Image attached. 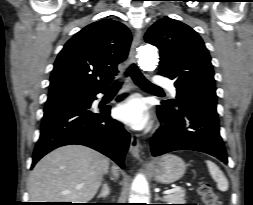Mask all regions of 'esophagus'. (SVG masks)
I'll list each match as a JSON object with an SVG mask.
<instances>
[{
    "instance_id": "34e87169",
    "label": "esophagus",
    "mask_w": 253,
    "mask_h": 205,
    "mask_svg": "<svg viewBox=\"0 0 253 205\" xmlns=\"http://www.w3.org/2000/svg\"><path fill=\"white\" fill-rule=\"evenodd\" d=\"M142 40V33L141 31L137 30L134 34L133 41L130 48V61L133 63H136V53L138 46L140 45ZM129 152L132 154V156L136 159H139L141 156V144L139 141V138L137 136H132L129 146Z\"/></svg>"
}]
</instances>
